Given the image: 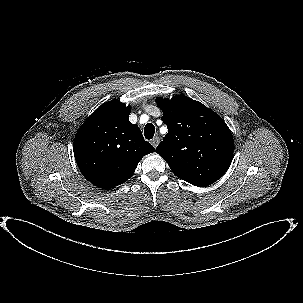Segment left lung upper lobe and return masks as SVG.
I'll return each mask as SVG.
<instances>
[{
  "instance_id": "1",
  "label": "left lung upper lobe",
  "mask_w": 303,
  "mask_h": 303,
  "mask_svg": "<svg viewBox=\"0 0 303 303\" xmlns=\"http://www.w3.org/2000/svg\"><path fill=\"white\" fill-rule=\"evenodd\" d=\"M168 133L156 148L172 172L193 185L211 184L229 168L233 135L223 119L184 95L157 98Z\"/></svg>"
}]
</instances>
